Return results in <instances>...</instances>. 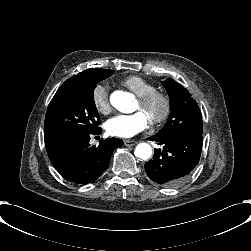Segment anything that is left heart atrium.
I'll return each instance as SVG.
<instances>
[{"label":"left heart atrium","instance_id":"1","mask_svg":"<svg viewBox=\"0 0 251 251\" xmlns=\"http://www.w3.org/2000/svg\"><path fill=\"white\" fill-rule=\"evenodd\" d=\"M150 124L148 113L140 109L130 114H118L106 123V130L110 135L128 138L144 130Z\"/></svg>","mask_w":251,"mask_h":251}]
</instances>
